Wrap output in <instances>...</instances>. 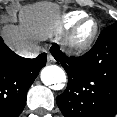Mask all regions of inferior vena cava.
<instances>
[{
  "label": "inferior vena cava",
  "instance_id": "1",
  "mask_svg": "<svg viewBox=\"0 0 117 117\" xmlns=\"http://www.w3.org/2000/svg\"><path fill=\"white\" fill-rule=\"evenodd\" d=\"M39 46H28L17 50V54L25 58H35L39 55Z\"/></svg>",
  "mask_w": 117,
  "mask_h": 117
}]
</instances>
